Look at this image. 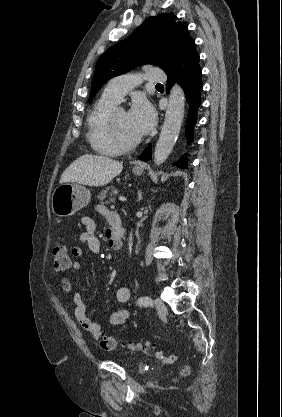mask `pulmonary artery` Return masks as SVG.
Masks as SVG:
<instances>
[{
  "label": "pulmonary artery",
  "instance_id": "e3ab8cb5",
  "mask_svg": "<svg viewBox=\"0 0 282 417\" xmlns=\"http://www.w3.org/2000/svg\"><path fill=\"white\" fill-rule=\"evenodd\" d=\"M146 71L151 74H144L139 76L138 72H133L132 75L125 74L112 79L103 91V96L112 99L115 102H120L124 95L131 90L138 81L144 83H167L168 75L160 74L162 68L160 65H151L146 68ZM137 77V80L134 79Z\"/></svg>",
  "mask_w": 282,
  "mask_h": 417
}]
</instances>
